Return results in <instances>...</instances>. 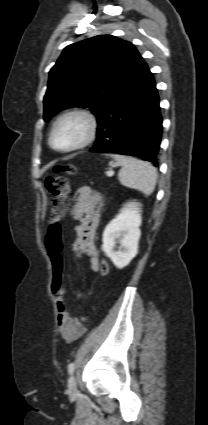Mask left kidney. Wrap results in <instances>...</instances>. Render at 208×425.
Segmentation results:
<instances>
[{
    "instance_id": "1",
    "label": "left kidney",
    "mask_w": 208,
    "mask_h": 425,
    "mask_svg": "<svg viewBox=\"0 0 208 425\" xmlns=\"http://www.w3.org/2000/svg\"><path fill=\"white\" fill-rule=\"evenodd\" d=\"M141 204L129 202L106 226L103 232L102 250L118 269L126 267L138 253L141 231ZM116 243L120 250L115 251Z\"/></svg>"
}]
</instances>
